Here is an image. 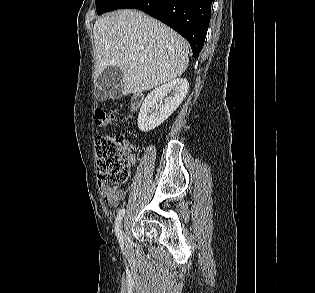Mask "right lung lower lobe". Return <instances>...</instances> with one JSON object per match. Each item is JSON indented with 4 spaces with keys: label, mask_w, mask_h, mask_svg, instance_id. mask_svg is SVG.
<instances>
[{
    "label": "right lung lower lobe",
    "mask_w": 315,
    "mask_h": 293,
    "mask_svg": "<svg viewBox=\"0 0 315 293\" xmlns=\"http://www.w3.org/2000/svg\"><path fill=\"white\" fill-rule=\"evenodd\" d=\"M212 0H115L106 12L134 8L144 11L181 34L198 58L211 16Z\"/></svg>",
    "instance_id": "right-lung-lower-lobe-1"
}]
</instances>
